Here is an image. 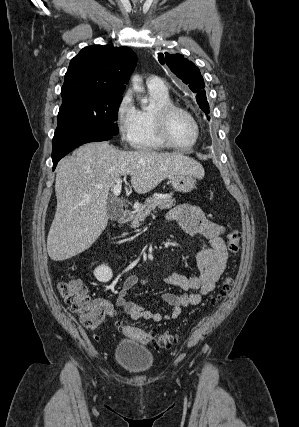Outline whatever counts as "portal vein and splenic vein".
Returning <instances> with one entry per match:
<instances>
[{"label": "portal vein and splenic vein", "mask_w": 299, "mask_h": 427, "mask_svg": "<svg viewBox=\"0 0 299 427\" xmlns=\"http://www.w3.org/2000/svg\"><path fill=\"white\" fill-rule=\"evenodd\" d=\"M121 184H122V180L118 179L116 184L114 185V187L112 189L113 195L116 197L119 196L121 193Z\"/></svg>", "instance_id": "18ae733b"}]
</instances>
